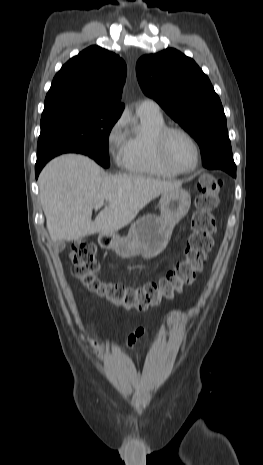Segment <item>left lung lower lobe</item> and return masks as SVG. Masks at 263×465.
<instances>
[{"label":"left lung lower lobe","instance_id":"0a47b994","mask_svg":"<svg viewBox=\"0 0 263 465\" xmlns=\"http://www.w3.org/2000/svg\"><path fill=\"white\" fill-rule=\"evenodd\" d=\"M204 167L208 169H213L215 163L213 160L205 159L203 161ZM224 171L232 175L233 177H236V166H224Z\"/></svg>","mask_w":263,"mask_h":465}]
</instances>
